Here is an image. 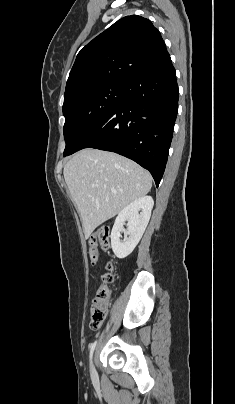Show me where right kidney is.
<instances>
[{
  "instance_id": "obj_1",
  "label": "right kidney",
  "mask_w": 235,
  "mask_h": 404,
  "mask_svg": "<svg viewBox=\"0 0 235 404\" xmlns=\"http://www.w3.org/2000/svg\"><path fill=\"white\" fill-rule=\"evenodd\" d=\"M153 205L151 196H143L123 208L118 214L111 232L112 250L118 258L127 257L139 243L149 222ZM125 221H128L127 230L123 227ZM122 232L126 234L124 241L121 240Z\"/></svg>"
}]
</instances>
